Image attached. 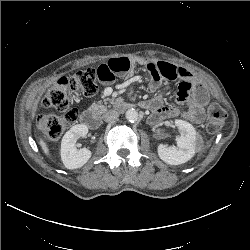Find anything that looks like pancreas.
Wrapping results in <instances>:
<instances>
[{
    "mask_svg": "<svg viewBox=\"0 0 250 250\" xmlns=\"http://www.w3.org/2000/svg\"><path fill=\"white\" fill-rule=\"evenodd\" d=\"M108 102L111 103V104H113V103H114V100H112V99H107L104 105L101 104L100 102H98V103H93V104H92V108H93L94 110L98 111L99 113H104V112L107 110V107H108L107 104H108Z\"/></svg>",
    "mask_w": 250,
    "mask_h": 250,
    "instance_id": "pancreas-1",
    "label": "pancreas"
}]
</instances>
